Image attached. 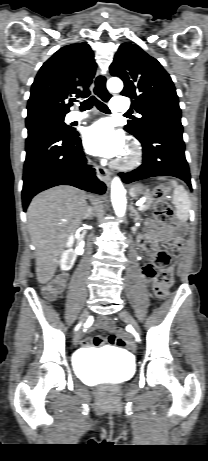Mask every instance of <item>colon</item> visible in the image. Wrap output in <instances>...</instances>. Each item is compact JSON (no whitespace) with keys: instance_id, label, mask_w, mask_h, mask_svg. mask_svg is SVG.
<instances>
[{"instance_id":"colon-1","label":"colon","mask_w":208,"mask_h":461,"mask_svg":"<svg viewBox=\"0 0 208 461\" xmlns=\"http://www.w3.org/2000/svg\"><path fill=\"white\" fill-rule=\"evenodd\" d=\"M153 195L160 202L156 209L157 222L160 225H173V231H175L178 235L182 234V226H180L175 221L173 211L165 201L166 189L164 187H157L155 188ZM171 246L174 250H179V240L175 239ZM169 260L170 254L167 251H161L160 253H158V255L152 262L157 268H161V270L156 275L153 283L154 294L156 297L160 299H166L168 297L170 287L174 282L173 269L167 266ZM63 288L64 283L62 281H55L45 287L44 293L47 298L53 299L62 291ZM114 332L117 334V336L121 337L120 345H124L126 343V337L121 333V331L118 328L114 329Z\"/></svg>"}]
</instances>
